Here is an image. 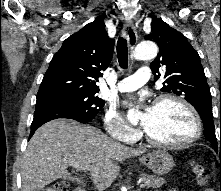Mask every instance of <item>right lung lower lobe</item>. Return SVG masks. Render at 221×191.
<instances>
[{"label":"right lung lower lobe","instance_id":"1","mask_svg":"<svg viewBox=\"0 0 221 191\" xmlns=\"http://www.w3.org/2000/svg\"><path fill=\"white\" fill-rule=\"evenodd\" d=\"M59 118L73 119L80 123H88L92 121L76 116L66 106L53 99L37 100L29 138H31L34 132L44 123Z\"/></svg>","mask_w":221,"mask_h":191}]
</instances>
